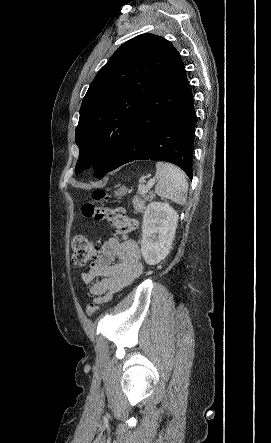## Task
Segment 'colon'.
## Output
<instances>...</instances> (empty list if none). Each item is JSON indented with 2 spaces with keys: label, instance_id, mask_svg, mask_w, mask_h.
<instances>
[{
  "label": "colon",
  "instance_id": "colon-1",
  "mask_svg": "<svg viewBox=\"0 0 271 443\" xmlns=\"http://www.w3.org/2000/svg\"><path fill=\"white\" fill-rule=\"evenodd\" d=\"M109 195L107 191L95 190L91 199L83 205L85 217L102 222L115 228L117 233L126 238L136 227V221L129 218L123 209H111L105 206ZM72 261L77 267H86L96 257L97 246L84 236H75L71 242ZM98 312V305L90 303L87 315L93 317Z\"/></svg>",
  "mask_w": 271,
  "mask_h": 443
}]
</instances>
